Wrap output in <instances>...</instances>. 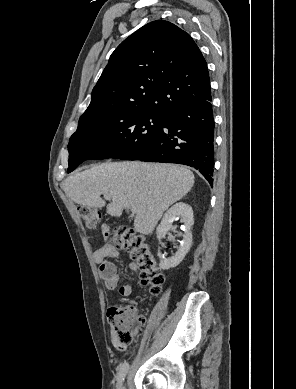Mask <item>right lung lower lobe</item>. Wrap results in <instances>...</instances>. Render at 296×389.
I'll return each instance as SVG.
<instances>
[{
  "mask_svg": "<svg viewBox=\"0 0 296 389\" xmlns=\"http://www.w3.org/2000/svg\"><path fill=\"white\" fill-rule=\"evenodd\" d=\"M211 101L210 96L168 114L161 129L135 160L188 165L199 170L213 185L214 114Z\"/></svg>",
  "mask_w": 296,
  "mask_h": 389,
  "instance_id": "right-lung-lower-lobe-1",
  "label": "right lung lower lobe"
}]
</instances>
